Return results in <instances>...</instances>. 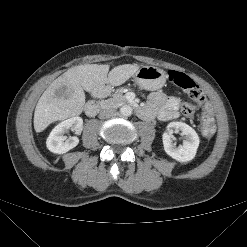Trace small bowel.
<instances>
[{
	"instance_id": "c3829d8e",
	"label": "small bowel",
	"mask_w": 247,
	"mask_h": 247,
	"mask_svg": "<svg viewBox=\"0 0 247 247\" xmlns=\"http://www.w3.org/2000/svg\"><path fill=\"white\" fill-rule=\"evenodd\" d=\"M180 99L177 97H169L163 92L156 91L149 95L148 105L145 108L146 116L144 118L151 119L158 116L162 120H171L179 116Z\"/></svg>"
}]
</instances>
